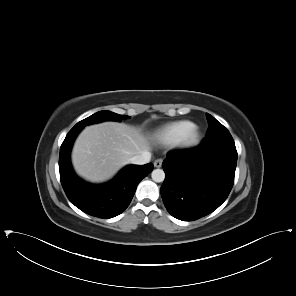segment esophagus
I'll return each mask as SVG.
<instances>
[{
    "mask_svg": "<svg viewBox=\"0 0 296 296\" xmlns=\"http://www.w3.org/2000/svg\"><path fill=\"white\" fill-rule=\"evenodd\" d=\"M163 160L162 159H156L154 161V167L160 168L162 166Z\"/></svg>",
    "mask_w": 296,
    "mask_h": 296,
    "instance_id": "1",
    "label": "esophagus"
}]
</instances>
